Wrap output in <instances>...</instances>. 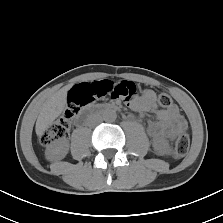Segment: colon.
Returning <instances> with one entry per match:
<instances>
[{
    "instance_id": "1",
    "label": "colon",
    "mask_w": 223,
    "mask_h": 223,
    "mask_svg": "<svg viewBox=\"0 0 223 223\" xmlns=\"http://www.w3.org/2000/svg\"><path fill=\"white\" fill-rule=\"evenodd\" d=\"M137 93V86L131 81H122L114 84L103 80L98 82H85L74 85L68 92L67 106L63 116L53 123L43 134L42 143L49 144L55 140L66 138L72 121L79 113L82 106L93 102L95 99L109 95L112 99L122 101L131 100ZM158 104L170 107L172 99L168 94L158 96ZM190 147V138L186 132H181L176 139L174 155L182 157L187 154Z\"/></svg>"
}]
</instances>
